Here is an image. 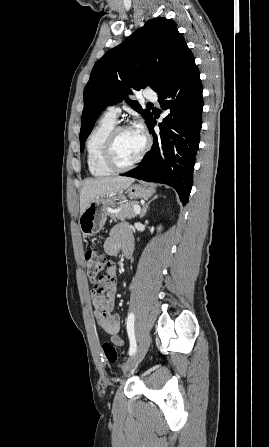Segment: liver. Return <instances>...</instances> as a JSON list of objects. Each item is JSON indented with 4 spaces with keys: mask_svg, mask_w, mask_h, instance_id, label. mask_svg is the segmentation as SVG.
I'll use <instances>...</instances> for the list:
<instances>
[{
    "mask_svg": "<svg viewBox=\"0 0 269 447\" xmlns=\"http://www.w3.org/2000/svg\"><path fill=\"white\" fill-rule=\"evenodd\" d=\"M135 182L134 178H98V180H85L80 192V216L86 210L88 204L103 194H113L124 188H129Z\"/></svg>",
    "mask_w": 269,
    "mask_h": 447,
    "instance_id": "6515ba94",
    "label": "liver"
}]
</instances>
